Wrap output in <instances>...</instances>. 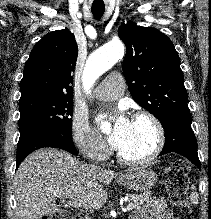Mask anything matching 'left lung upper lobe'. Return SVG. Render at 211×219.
I'll return each mask as SVG.
<instances>
[{
    "label": "left lung upper lobe",
    "instance_id": "left-lung-upper-lobe-1",
    "mask_svg": "<svg viewBox=\"0 0 211 219\" xmlns=\"http://www.w3.org/2000/svg\"><path fill=\"white\" fill-rule=\"evenodd\" d=\"M126 45L123 74L134 100L163 125L175 114H190L177 51L160 31L123 24L118 29Z\"/></svg>",
    "mask_w": 211,
    "mask_h": 219
}]
</instances>
